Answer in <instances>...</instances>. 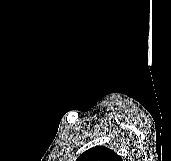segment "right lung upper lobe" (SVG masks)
<instances>
[{
    "instance_id": "right-lung-upper-lobe-1",
    "label": "right lung upper lobe",
    "mask_w": 171,
    "mask_h": 161,
    "mask_svg": "<svg viewBox=\"0 0 171 161\" xmlns=\"http://www.w3.org/2000/svg\"><path fill=\"white\" fill-rule=\"evenodd\" d=\"M76 161H122V158L109 148L96 146L85 151Z\"/></svg>"
}]
</instances>
